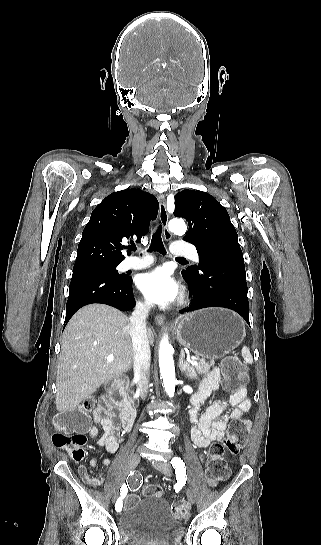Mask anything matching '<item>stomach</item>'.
<instances>
[{
	"instance_id": "1",
	"label": "stomach",
	"mask_w": 321,
	"mask_h": 545,
	"mask_svg": "<svg viewBox=\"0 0 321 545\" xmlns=\"http://www.w3.org/2000/svg\"><path fill=\"white\" fill-rule=\"evenodd\" d=\"M176 339L195 357L221 359L236 349L245 337V325L229 309H201L187 313L175 323Z\"/></svg>"
}]
</instances>
